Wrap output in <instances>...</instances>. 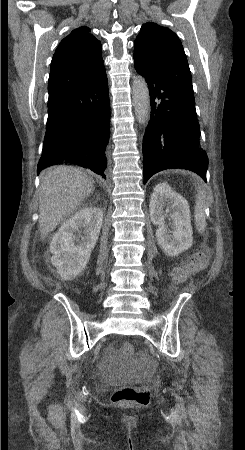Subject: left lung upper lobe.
Here are the masks:
<instances>
[{
    "label": "left lung upper lobe",
    "mask_w": 245,
    "mask_h": 450,
    "mask_svg": "<svg viewBox=\"0 0 245 450\" xmlns=\"http://www.w3.org/2000/svg\"><path fill=\"white\" fill-rule=\"evenodd\" d=\"M134 64L148 74L160 75L195 102L192 77L178 36L170 29L146 23L134 42Z\"/></svg>",
    "instance_id": "5c2ea615"
}]
</instances>
